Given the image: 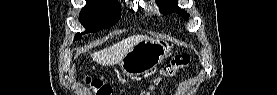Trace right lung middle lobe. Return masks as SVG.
<instances>
[{
	"mask_svg": "<svg viewBox=\"0 0 277 95\" xmlns=\"http://www.w3.org/2000/svg\"><path fill=\"white\" fill-rule=\"evenodd\" d=\"M121 17L120 5L117 2L94 0L86 1L82 8L79 21L86 28L83 33H77L74 40H79L82 34L95 32L99 29L108 28Z\"/></svg>",
	"mask_w": 277,
	"mask_h": 95,
	"instance_id": "dd1d6c3e",
	"label": "right lung middle lobe"
}]
</instances>
